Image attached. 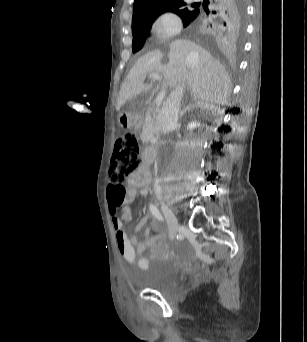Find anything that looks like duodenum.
<instances>
[{
	"label": "duodenum",
	"mask_w": 307,
	"mask_h": 342,
	"mask_svg": "<svg viewBox=\"0 0 307 342\" xmlns=\"http://www.w3.org/2000/svg\"><path fill=\"white\" fill-rule=\"evenodd\" d=\"M127 126L129 127L131 124L134 123L135 126H139L140 123L137 120H134L133 117H128L127 118ZM154 156V150L151 147L144 146L142 148V159L145 164H150L152 158Z\"/></svg>",
	"instance_id": "obj_1"
}]
</instances>
